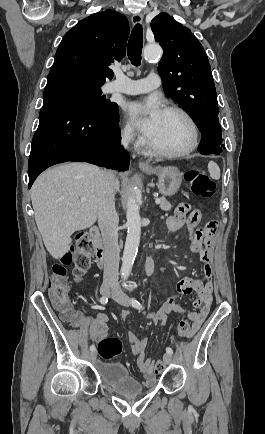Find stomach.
Returning a JSON list of instances; mask_svg holds the SVG:
<instances>
[{
	"label": "stomach",
	"instance_id": "1",
	"mask_svg": "<svg viewBox=\"0 0 265 434\" xmlns=\"http://www.w3.org/2000/svg\"><path fill=\"white\" fill-rule=\"evenodd\" d=\"M145 174H157L158 190L162 196H173L178 192L182 178L178 168L168 166V168H151V166H140Z\"/></svg>",
	"mask_w": 265,
	"mask_h": 434
}]
</instances>
